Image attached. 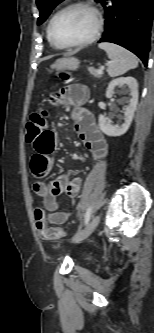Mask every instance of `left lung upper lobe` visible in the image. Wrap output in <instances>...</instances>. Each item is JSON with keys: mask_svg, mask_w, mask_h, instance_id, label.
<instances>
[{"mask_svg": "<svg viewBox=\"0 0 154 333\" xmlns=\"http://www.w3.org/2000/svg\"><path fill=\"white\" fill-rule=\"evenodd\" d=\"M62 1L63 0H36L37 7L40 11V17L38 18L37 24H42L49 16L52 9ZM96 1L101 2L102 0Z\"/></svg>", "mask_w": 154, "mask_h": 333, "instance_id": "5c2ea615", "label": "left lung upper lobe"}]
</instances>
